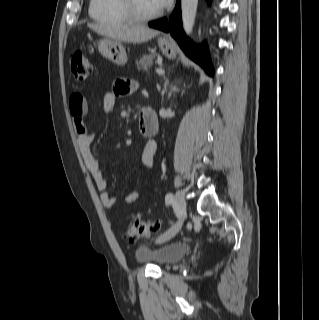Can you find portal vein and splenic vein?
I'll return each mask as SVG.
<instances>
[{"mask_svg": "<svg viewBox=\"0 0 319 320\" xmlns=\"http://www.w3.org/2000/svg\"><path fill=\"white\" fill-rule=\"evenodd\" d=\"M156 73H158V74H164L165 72H164V70H163L162 68H157V69H156Z\"/></svg>", "mask_w": 319, "mask_h": 320, "instance_id": "18ae733b", "label": "portal vein and splenic vein"}]
</instances>
